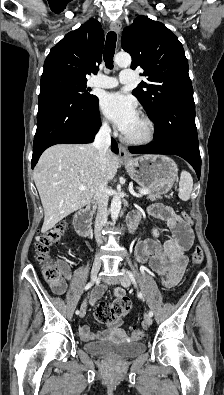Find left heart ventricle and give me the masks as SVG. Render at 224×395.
Returning a JSON list of instances; mask_svg holds the SVG:
<instances>
[{
    "mask_svg": "<svg viewBox=\"0 0 224 395\" xmlns=\"http://www.w3.org/2000/svg\"><path fill=\"white\" fill-rule=\"evenodd\" d=\"M143 131L144 125L138 117L125 134L128 136H139L143 133Z\"/></svg>",
    "mask_w": 224,
    "mask_h": 395,
    "instance_id": "obj_1",
    "label": "left heart ventricle"
}]
</instances>
